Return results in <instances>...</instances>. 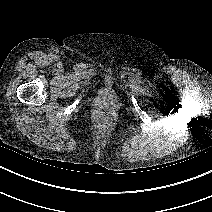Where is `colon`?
<instances>
[{"label": "colon", "mask_w": 212, "mask_h": 212, "mask_svg": "<svg viewBox=\"0 0 212 212\" xmlns=\"http://www.w3.org/2000/svg\"><path fill=\"white\" fill-rule=\"evenodd\" d=\"M99 115L103 119H108L110 117V112L108 110H106V109H101L99 111Z\"/></svg>", "instance_id": "5ec220e1"}]
</instances>
